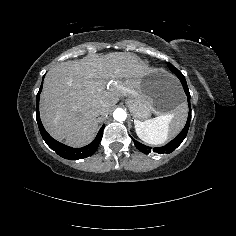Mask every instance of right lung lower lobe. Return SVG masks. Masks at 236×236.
<instances>
[{
  "mask_svg": "<svg viewBox=\"0 0 236 236\" xmlns=\"http://www.w3.org/2000/svg\"><path fill=\"white\" fill-rule=\"evenodd\" d=\"M42 85L40 87V90L37 94V109H36V119H37V123H38V127L40 130V133L44 139V141L46 142V144L52 149L54 150L59 156L65 158V159H69V160H77V159H83L85 157L91 156L98 148L99 143L101 141V138L103 136V130L105 125H103L96 138L87 146L82 147V148H72L69 146H66L58 141H56L55 139H53L44 129L41 120H40V116H39V95L42 89Z\"/></svg>",
  "mask_w": 236,
  "mask_h": 236,
  "instance_id": "1",
  "label": "right lung lower lobe"
}]
</instances>
